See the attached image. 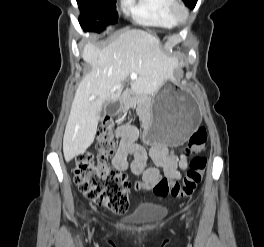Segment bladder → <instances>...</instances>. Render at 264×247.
Segmentation results:
<instances>
[{"label":"bladder","mask_w":264,"mask_h":247,"mask_svg":"<svg viewBox=\"0 0 264 247\" xmlns=\"http://www.w3.org/2000/svg\"><path fill=\"white\" fill-rule=\"evenodd\" d=\"M166 215V208L153 202L139 204L127 217L128 219L140 223H153L161 220Z\"/></svg>","instance_id":"obj_1"}]
</instances>
